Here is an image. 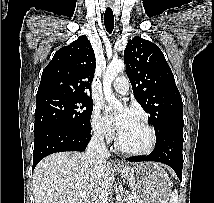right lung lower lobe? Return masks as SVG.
<instances>
[{
    "label": "right lung lower lobe",
    "mask_w": 214,
    "mask_h": 203,
    "mask_svg": "<svg viewBox=\"0 0 214 203\" xmlns=\"http://www.w3.org/2000/svg\"><path fill=\"white\" fill-rule=\"evenodd\" d=\"M33 169L44 157L63 151H84L91 139V132L63 126L50 125L34 132Z\"/></svg>",
    "instance_id": "obj_1"
}]
</instances>
